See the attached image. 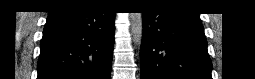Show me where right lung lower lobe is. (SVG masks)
I'll use <instances>...</instances> for the list:
<instances>
[{"label":"right lung lower lobe","instance_id":"obj_1","mask_svg":"<svg viewBox=\"0 0 255 79\" xmlns=\"http://www.w3.org/2000/svg\"><path fill=\"white\" fill-rule=\"evenodd\" d=\"M115 12L65 6L49 12L37 79H109Z\"/></svg>","mask_w":255,"mask_h":79}]
</instances>
